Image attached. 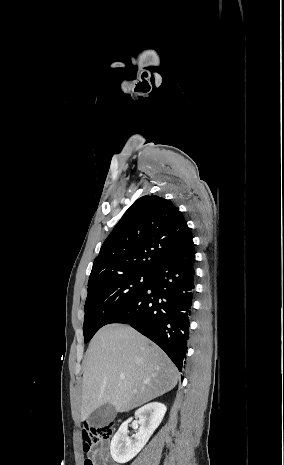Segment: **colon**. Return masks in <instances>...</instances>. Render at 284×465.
<instances>
[{
    "label": "colon",
    "mask_w": 284,
    "mask_h": 465,
    "mask_svg": "<svg viewBox=\"0 0 284 465\" xmlns=\"http://www.w3.org/2000/svg\"><path fill=\"white\" fill-rule=\"evenodd\" d=\"M112 435V428L109 423L92 424L82 435V450L88 453L94 445L103 442ZM84 465H94L91 459L86 458Z\"/></svg>",
    "instance_id": "5ec220e1"
}]
</instances>
